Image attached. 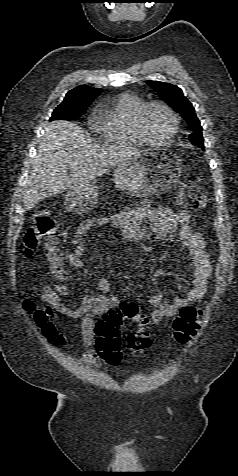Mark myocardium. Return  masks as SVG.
<instances>
[{"mask_svg": "<svg viewBox=\"0 0 238 476\" xmlns=\"http://www.w3.org/2000/svg\"><path fill=\"white\" fill-rule=\"evenodd\" d=\"M153 106H159L163 108L171 117L172 122H173V128L171 133L164 139H155L149 135V133L146 130L145 127V115L147 111L153 107ZM136 127L139 132V134L142 136V138L149 143L152 144H157V145H164L169 142H171L174 137L177 135L179 131V118L176 114V112L164 101L161 100H151L148 102H144V104L139 108L137 115H136Z\"/></svg>", "mask_w": 238, "mask_h": 476, "instance_id": "f54148a6", "label": "myocardium"}]
</instances>
